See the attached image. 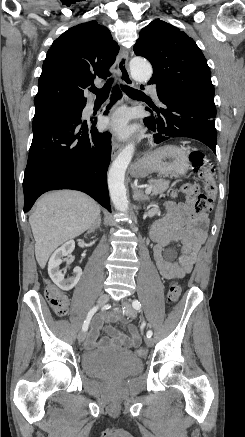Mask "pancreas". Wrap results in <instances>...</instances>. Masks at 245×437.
Masks as SVG:
<instances>
[{
  "label": "pancreas",
  "mask_w": 245,
  "mask_h": 437,
  "mask_svg": "<svg viewBox=\"0 0 245 437\" xmlns=\"http://www.w3.org/2000/svg\"><path fill=\"white\" fill-rule=\"evenodd\" d=\"M169 181L166 180H154L152 181V190H151V195H162L168 188H169Z\"/></svg>",
  "instance_id": "pancreas-1"
}]
</instances>
